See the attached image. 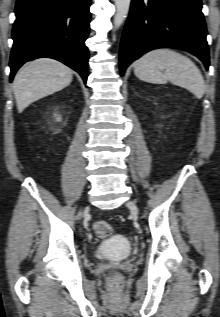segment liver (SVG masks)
I'll use <instances>...</instances> for the list:
<instances>
[{
	"label": "liver",
	"instance_id": "obj_1",
	"mask_svg": "<svg viewBox=\"0 0 220 317\" xmlns=\"http://www.w3.org/2000/svg\"><path fill=\"white\" fill-rule=\"evenodd\" d=\"M72 70L63 63L42 58L23 66L13 81L17 110L22 113L31 103L67 87Z\"/></svg>",
	"mask_w": 220,
	"mask_h": 317
}]
</instances>
